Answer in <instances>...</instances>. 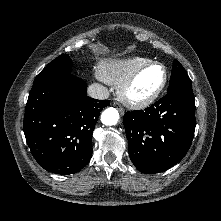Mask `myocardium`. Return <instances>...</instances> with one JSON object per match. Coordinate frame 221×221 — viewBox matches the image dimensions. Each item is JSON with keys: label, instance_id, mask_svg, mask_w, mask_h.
I'll return each mask as SVG.
<instances>
[{"label": "myocardium", "instance_id": "obj_1", "mask_svg": "<svg viewBox=\"0 0 221 221\" xmlns=\"http://www.w3.org/2000/svg\"><path fill=\"white\" fill-rule=\"evenodd\" d=\"M153 66H159L163 70V78L160 85L152 92L139 95L134 88L142 74ZM168 82V72L166 67L155 61H151L140 67L120 86L119 98L127 106L132 108H143L151 105L163 92Z\"/></svg>", "mask_w": 221, "mask_h": 221}]
</instances>
